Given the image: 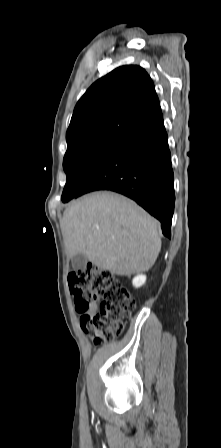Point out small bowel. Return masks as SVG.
Here are the masks:
<instances>
[{"label":"small bowel","mask_w":221,"mask_h":448,"mask_svg":"<svg viewBox=\"0 0 221 448\" xmlns=\"http://www.w3.org/2000/svg\"><path fill=\"white\" fill-rule=\"evenodd\" d=\"M97 309L96 305L91 308V311H95Z\"/></svg>","instance_id":"c3829d8e"}]
</instances>
